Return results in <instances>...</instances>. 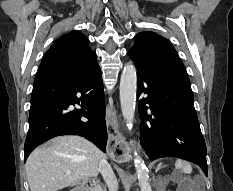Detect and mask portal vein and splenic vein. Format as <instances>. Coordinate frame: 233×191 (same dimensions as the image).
<instances>
[{"instance_id": "18ae733b", "label": "portal vein and splenic vein", "mask_w": 233, "mask_h": 191, "mask_svg": "<svg viewBox=\"0 0 233 191\" xmlns=\"http://www.w3.org/2000/svg\"><path fill=\"white\" fill-rule=\"evenodd\" d=\"M66 174H71V171H70V170H67V171H66Z\"/></svg>"}]
</instances>
